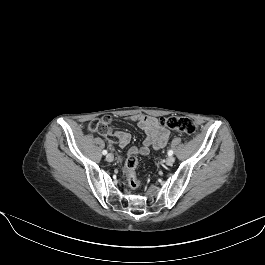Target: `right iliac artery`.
<instances>
[{"instance_id":"1","label":"right iliac artery","mask_w":265,"mask_h":265,"mask_svg":"<svg viewBox=\"0 0 265 265\" xmlns=\"http://www.w3.org/2000/svg\"><path fill=\"white\" fill-rule=\"evenodd\" d=\"M103 155H106L107 154V150H103Z\"/></svg>"}]
</instances>
